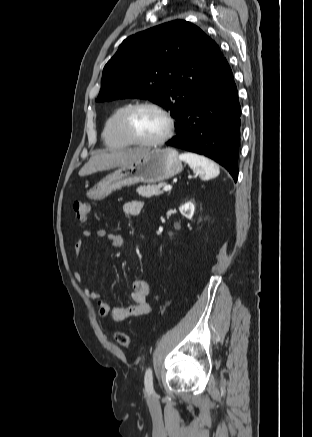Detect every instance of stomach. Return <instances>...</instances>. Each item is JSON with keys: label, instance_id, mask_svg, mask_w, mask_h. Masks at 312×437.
<instances>
[{"label": "stomach", "instance_id": "obj_1", "mask_svg": "<svg viewBox=\"0 0 312 437\" xmlns=\"http://www.w3.org/2000/svg\"><path fill=\"white\" fill-rule=\"evenodd\" d=\"M183 170L174 148L153 149L137 160L108 174L86 192L91 200H102L112 192L137 183H156L172 178Z\"/></svg>", "mask_w": 312, "mask_h": 437}]
</instances>
